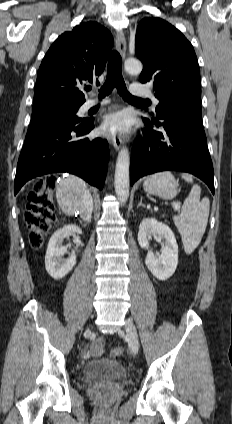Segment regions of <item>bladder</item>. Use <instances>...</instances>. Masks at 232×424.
Wrapping results in <instances>:
<instances>
[{"mask_svg": "<svg viewBox=\"0 0 232 424\" xmlns=\"http://www.w3.org/2000/svg\"><path fill=\"white\" fill-rule=\"evenodd\" d=\"M82 377L84 379L126 380L128 372L118 361L98 359L86 364L82 370Z\"/></svg>", "mask_w": 232, "mask_h": 424, "instance_id": "obj_1", "label": "bladder"}]
</instances>
